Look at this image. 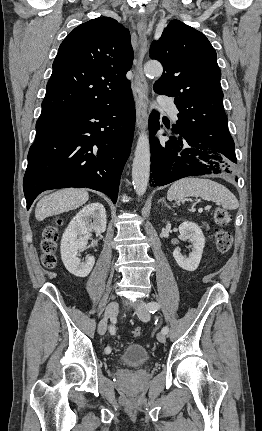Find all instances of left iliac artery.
Wrapping results in <instances>:
<instances>
[{
  "mask_svg": "<svg viewBox=\"0 0 262 431\" xmlns=\"http://www.w3.org/2000/svg\"><path fill=\"white\" fill-rule=\"evenodd\" d=\"M147 308L150 313H155L160 308V305L157 302H150L148 303ZM168 331L169 329L167 326L162 329V332L165 334H167Z\"/></svg>",
  "mask_w": 262,
  "mask_h": 431,
  "instance_id": "left-iliac-artery-1",
  "label": "left iliac artery"
}]
</instances>
